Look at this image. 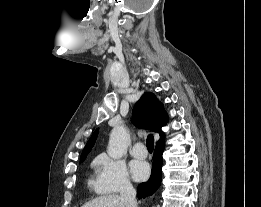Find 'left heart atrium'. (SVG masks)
Listing matches in <instances>:
<instances>
[{
    "label": "left heart atrium",
    "mask_w": 261,
    "mask_h": 207,
    "mask_svg": "<svg viewBox=\"0 0 261 207\" xmlns=\"http://www.w3.org/2000/svg\"><path fill=\"white\" fill-rule=\"evenodd\" d=\"M132 176L136 181H142L149 175V165L144 161L134 160L131 162Z\"/></svg>",
    "instance_id": "39dd6f15"
}]
</instances>
